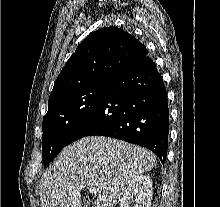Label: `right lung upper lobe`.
<instances>
[{"mask_svg":"<svg viewBox=\"0 0 220 207\" xmlns=\"http://www.w3.org/2000/svg\"><path fill=\"white\" fill-rule=\"evenodd\" d=\"M148 54L134 36L118 27H105L89 34L58 75L49 101L90 85L109 81L120 71Z\"/></svg>","mask_w":220,"mask_h":207,"instance_id":"cb5924a9","label":"right lung upper lobe"}]
</instances>
